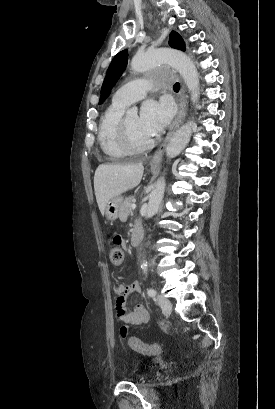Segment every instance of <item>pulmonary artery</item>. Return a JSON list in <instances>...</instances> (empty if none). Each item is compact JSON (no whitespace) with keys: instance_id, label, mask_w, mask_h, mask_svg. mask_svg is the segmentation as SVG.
I'll use <instances>...</instances> for the list:
<instances>
[{"instance_id":"e3ab8cb5","label":"pulmonary artery","mask_w":275,"mask_h":409,"mask_svg":"<svg viewBox=\"0 0 275 409\" xmlns=\"http://www.w3.org/2000/svg\"><path fill=\"white\" fill-rule=\"evenodd\" d=\"M141 85L144 88H152L154 81L152 79H144L141 82L140 79H131L129 85H118L117 93L113 97V103L127 108L133 102L142 99L144 92Z\"/></svg>"}]
</instances>
